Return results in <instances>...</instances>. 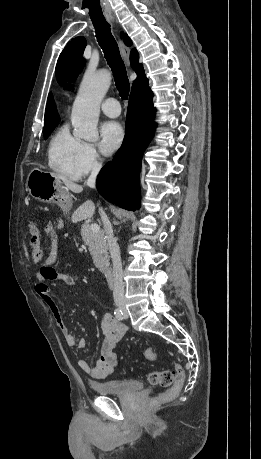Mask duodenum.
Wrapping results in <instances>:
<instances>
[{
  "label": "duodenum",
  "instance_id": "duodenum-1",
  "mask_svg": "<svg viewBox=\"0 0 261 459\" xmlns=\"http://www.w3.org/2000/svg\"><path fill=\"white\" fill-rule=\"evenodd\" d=\"M103 273L105 274L107 280L109 283H112L113 282V279H114V272H113V268L110 266V265H104L103 266Z\"/></svg>",
  "mask_w": 261,
  "mask_h": 459
}]
</instances>
